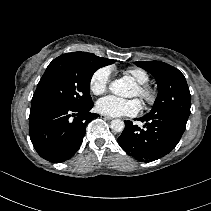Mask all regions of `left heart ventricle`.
<instances>
[{
    "label": "left heart ventricle",
    "mask_w": 211,
    "mask_h": 211,
    "mask_svg": "<svg viewBox=\"0 0 211 211\" xmlns=\"http://www.w3.org/2000/svg\"><path fill=\"white\" fill-rule=\"evenodd\" d=\"M134 95L135 96H139V90H138V88L135 89Z\"/></svg>",
    "instance_id": "obj_1"
}]
</instances>
